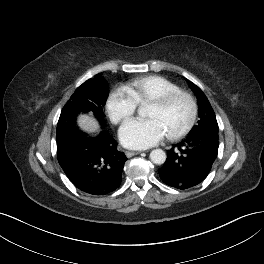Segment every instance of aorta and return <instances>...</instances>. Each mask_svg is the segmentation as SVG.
Returning <instances> with one entry per match:
<instances>
[{"mask_svg": "<svg viewBox=\"0 0 264 264\" xmlns=\"http://www.w3.org/2000/svg\"><path fill=\"white\" fill-rule=\"evenodd\" d=\"M139 114H142V108L139 109ZM166 157V153L162 149H154L150 153V160L157 165L163 164Z\"/></svg>", "mask_w": 264, "mask_h": 264, "instance_id": "762f6f07", "label": "aorta"}]
</instances>
